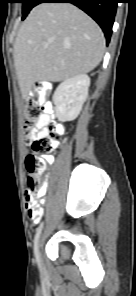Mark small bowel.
Returning <instances> with one entry per match:
<instances>
[{
	"mask_svg": "<svg viewBox=\"0 0 136 296\" xmlns=\"http://www.w3.org/2000/svg\"><path fill=\"white\" fill-rule=\"evenodd\" d=\"M41 121H42V123L39 125V127L36 129V131L34 133L35 136H39L40 137V136H44V135L47 134V129L45 128L44 123L51 121L50 114L48 112H45L44 115L41 118ZM46 160H47V162H49L51 160V158L50 157H47ZM39 214H40V219H41V217L43 215L42 209H40ZM40 219L34 220V222L37 223Z\"/></svg>",
	"mask_w": 136,
	"mask_h": 296,
	"instance_id": "c3829d8e",
	"label": "small bowel"
}]
</instances>
